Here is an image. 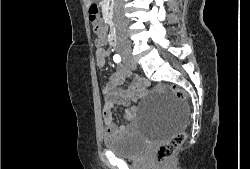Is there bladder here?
Segmentation results:
<instances>
[{
  "label": "bladder",
  "mask_w": 250,
  "mask_h": 169,
  "mask_svg": "<svg viewBox=\"0 0 250 169\" xmlns=\"http://www.w3.org/2000/svg\"><path fill=\"white\" fill-rule=\"evenodd\" d=\"M103 146L106 151L122 158H139L151 147L145 142L144 134L133 132L108 133L103 137Z\"/></svg>",
  "instance_id": "1"
}]
</instances>
